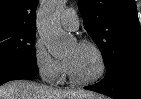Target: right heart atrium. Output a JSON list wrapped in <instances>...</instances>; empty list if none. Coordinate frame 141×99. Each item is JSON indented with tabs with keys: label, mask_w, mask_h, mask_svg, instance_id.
Listing matches in <instances>:
<instances>
[{
	"label": "right heart atrium",
	"mask_w": 141,
	"mask_h": 99,
	"mask_svg": "<svg viewBox=\"0 0 141 99\" xmlns=\"http://www.w3.org/2000/svg\"><path fill=\"white\" fill-rule=\"evenodd\" d=\"M33 60L39 75L47 83H54L63 75L64 63L49 53L41 39L33 44Z\"/></svg>",
	"instance_id": "obj_1"
}]
</instances>
